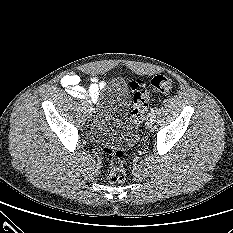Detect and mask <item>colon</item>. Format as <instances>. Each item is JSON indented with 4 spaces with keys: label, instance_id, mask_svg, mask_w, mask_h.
Segmentation results:
<instances>
[{
    "label": "colon",
    "instance_id": "1",
    "mask_svg": "<svg viewBox=\"0 0 233 233\" xmlns=\"http://www.w3.org/2000/svg\"><path fill=\"white\" fill-rule=\"evenodd\" d=\"M173 83L170 78L164 75H156L151 80V88L155 92L167 94L172 90ZM133 95V106L131 111V119L134 124L139 125L146 112L150 94L145 88L136 86ZM103 152L106 154L107 172L106 177L111 183H122L127 176L126 170V153L118 148L105 147Z\"/></svg>",
    "mask_w": 233,
    "mask_h": 233
}]
</instances>
